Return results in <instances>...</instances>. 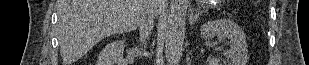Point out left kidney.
<instances>
[{
	"mask_svg": "<svg viewBox=\"0 0 309 65\" xmlns=\"http://www.w3.org/2000/svg\"><path fill=\"white\" fill-rule=\"evenodd\" d=\"M203 39L217 37L219 41L229 40L230 48L224 52L225 65H246L248 60V49L246 36L242 28L230 19L208 21L200 28ZM220 59L213 58L209 65H222Z\"/></svg>",
	"mask_w": 309,
	"mask_h": 65,
	"instance_id": "left-kidney-1",
	"label": "left kidney"
}]
</instances>
